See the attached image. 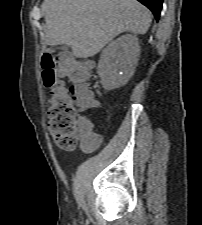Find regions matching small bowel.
<instances>
[{
    "instance_id": "small-bowel-1",
    "label": "small bowel",
    "mask_w": 202,
    "mask_h": 225,
    "mask_svg": "<svg viewBox=\"0 0 202 225\" xmlns=\"http://www.w3.org/2000/svg\"><path fill=\"white\" fill-rule=\"evenodd\" d=\"M85 66H86V69L88 70V69H90L93 66V62L87 61L85 63ZM94 100H95V98H94V95H93V92L92 91H91V97H88V96H86L84 94H80L78 96V104H79V107L83 111L92 110L94 108V106L92 104V102ZM83 124L85 126H89L91 128L94 127L93 123L90 122V121H83ZM93 136L99 139V141L93 146L94 149H97V148L101 147L105 143V137H104V135H101L99 133L93 132Z\"/></svg>"
}]
</instances>
